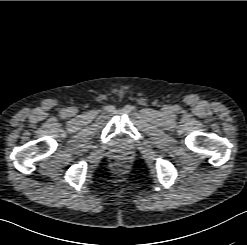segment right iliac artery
<instances>
[{"mask_svg": "<svg viewBox=\"0 0 247 245\" xmlns=\"http://www.w3.org/2000/svg\"><path fill=\"white\" fill-rule=\"evenodd\" d=\"M62 114L65 115L66 114V110H63Z\"/></svg>", "mask_w": 247, "mask_h": 245, "instance_id": "1", "label": "right iliac artery"}]
</instances>
